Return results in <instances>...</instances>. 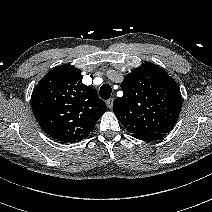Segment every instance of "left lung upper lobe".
Listing matches in <instances>:
<instances>
[{
	"label": "left lung upper lobe",
	"mask_w": 212,
	"mask_h": 212,
	"mask_svg": "<svg viewBox=\"0 0 212 212\" xmlns=\"http://www.w3.org/2000/svg\"><path fill=\"white\" fill-rule=\"evenodd\" d=\"M124 95L113 102V111L133 135L168 133L182 106L179 86L163 69L145 63L127 74L121 83Z\"/></svg>",
	"instance_id": "obj_1"
}]
</instances>
